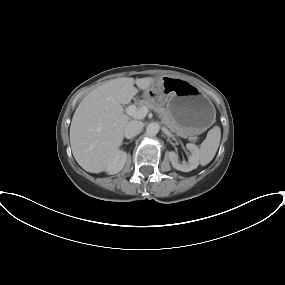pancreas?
Wrapping results in <instances>:
<instances>
[{
    "mask_svg": "<svg viewBox=\"0 0 285 285\" xmlns=\"http://www.w3.org/2000/svg\"><path fill=\"white\" fill-rule=\"evenodd\" d=\"M147 107L149 109L154 110L156 113H158L159 118H161V121L163 124H165L172 132L176 133L178 136H181L183 138L189 137V140L195 141L196 137L189 135L186 133L182 128L176 126L174 122L170 119L167 110L163 108L161 105L157 104L155 101L151 100H140L138 102V108Z\"/></svg>",
    "mask_w": 285,
    "mask_h": 285,
    "instance_id": "cf45deb5",
    "label": "pancreas"
}]
</instances>
